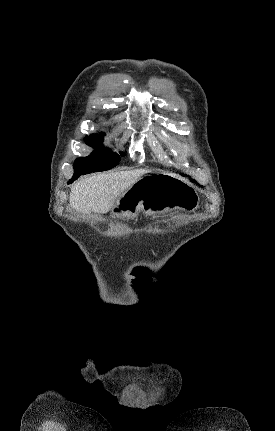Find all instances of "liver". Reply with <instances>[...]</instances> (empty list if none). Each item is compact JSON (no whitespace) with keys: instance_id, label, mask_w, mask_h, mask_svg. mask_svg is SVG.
I'll use <instances>...</instances> for the list:
<instances>
[{"instance_id":"6515ba94","label":"liver","mask_w":275,"mask_h":431,"mask_svg":"<svg viewBox=\"0 0 275 431\" xmlns=\"http://www.w3.org/2000/svg\"><path fill=\"white\" fill-rule=\"evenodd\" d=\"M149 172L146 169H138L98 174L82 179L71 188L70 205L83 214L107 213L123 192Z\"/></svg>"}]
</instances>
